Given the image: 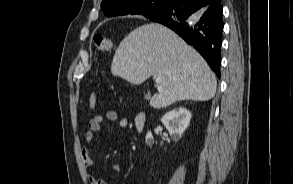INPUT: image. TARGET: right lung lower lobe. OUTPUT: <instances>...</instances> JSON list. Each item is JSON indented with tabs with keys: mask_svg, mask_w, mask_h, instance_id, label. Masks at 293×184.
<instances>
[{
	"mask_svg": "<svg viewBox=\"0 0 293 184\" xmlns=\"http://www.w3.org/2000/svg\"><path fill=\"white\" fill-rule=\"evenodd\" d=\"M203 4L200 0H173L150 20L169 27L192 45L220 78L223 8L220 0L208 7Z\"/></svg>",
	"mask_w": 293,
	"mask_h": 184,
	"instance_id": "right-lung-lower-lobe-1",
	"label": "right lung lower lobe"
}]
</instances>
